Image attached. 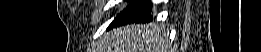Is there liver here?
<instances>
[{"mask_svg": "<svg viewBox=\"0 0 261 52\" xmlns=\"http://www.w3.org/2000/svg\"><path fill=\"white\" fill-rule=\"evenodd\" d=\"M167 41L162 24H131L105 35L99 52H166Z\"/></svg>", "mask_w": 261, "mask_h": 52, "instance_id": "1", "label": "liver"}]
</instances>
